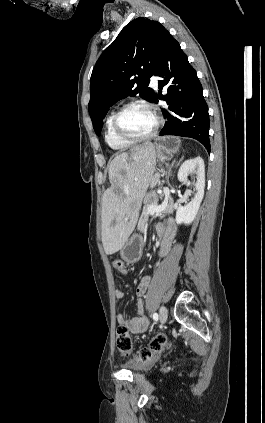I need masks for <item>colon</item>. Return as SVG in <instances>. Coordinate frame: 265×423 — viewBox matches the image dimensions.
<instances>
[{
    "mask_svg": "<svg viewBox=\"0 0 265 423\" xmlns=\"http://www.w3.org/2000/svg\"><path fill=\"white\" fill-rule=\"evenodd\" d=\"M113 268L120 272L124 268V262L120 259H115L112 262ZM117 348L123 354H129L132 351V341L128 329L121 325L117 328L116 333ZM167 343V337L164 334H158L151 339L148 346L140 349L135 357L138 364H146L153 360L158 354L161 353Z\"/></svg>",
    "mask_w": 265,
    "mask_h": 423,
    "instance_id": "5ec220e1",
    "label": "colon"
}]
</instances>
